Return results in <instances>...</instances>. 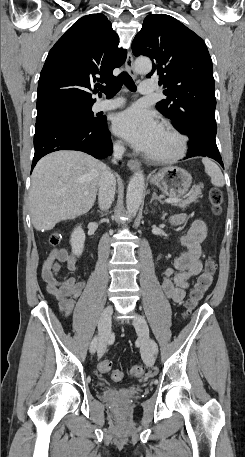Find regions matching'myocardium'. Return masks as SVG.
I'll return each mask as SVG.
<instances>
[{"label": "myocardium", "mask_w": 245, "mask_h": 457, "mask_svg": "<svg viewBox=\"0 0 245 457\" xmlns=\"http://www.w3.org/2000/svg\"><path fill=\"white\" fill-rule=\"evenodd\" d=\"M162 131L175 140L174 147L163 152H148L146 157L151 161L159 163H167L183 157L187 146L185 137L169 124H164L162 126Z\"/></svg>", "instance_id": "obj_1"}]
</instances>
